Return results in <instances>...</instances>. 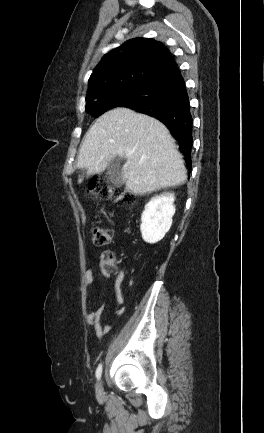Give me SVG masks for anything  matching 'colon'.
<instances>
[{"label":"colon","mask_w":264,"mask_h":433,"mask_svg":"<svg viewBox=\"0 0 264 433\" xmlns=\"http://www.w3.org/2000/svg\"><path fill=\"white\" fill-rule=\"evenodd\" d=\"M88 193L95 198L113 200L120 204H131L135 200V196L131 192L112 187L108 183L97 179H92L89 182ZM91 238L94 245L106 246L113 241V231L108 226L94 224L91 228ZM103 259L109 266L114 263V258L109 253L105 254Z\"/></svg>","instance_id":"colon-1"}]
</instances>
